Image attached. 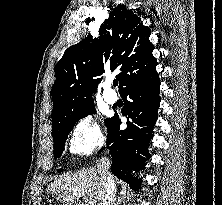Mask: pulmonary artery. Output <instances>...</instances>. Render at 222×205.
Wrapping results in <instances>:
<instances>
[{
	"mask_svg": "<svg viewBox=\"0 0 222 205\" xmlns=\"http://www.w3.org/2000/svg\"><path fill=\"white\" fill-rule=\"evenodd\" d=\"M108 87H109V84L107 88L103 90V98L107 103L113 104L117 100V94L113 90L109 89Z\"/></svg>",
	"mask_w": 222,
	"mask_h": 205,
	"instance_id": "pulmonary-artery-1",
	"label": "pulmonary artery"
}]
</instances>
